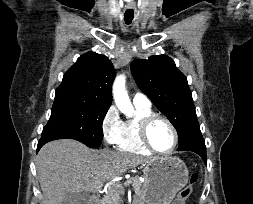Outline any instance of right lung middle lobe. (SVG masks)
<instances>
[{"label": "right lung middle lobe", "instance_id": "right-lung-middle-lobe-1", "mask_svg": "<svg viewBox=\"0 0 253 204\" xmlns=\"http://www.w3.org/2000/svg\"><path fill=\"white\" fill-rule=\"evenodd\" d=\"M109 107L72 91L56 90L51 117L42 137L70 138L98 148L103 138V119Z\"/></svg>", "mask_w": 253, "mask_h": 204}]
</instances>
